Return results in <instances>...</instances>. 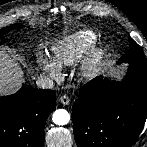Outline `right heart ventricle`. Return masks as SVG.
Instances as JSON below:
<instances>
[{"label":"right heart ventricle","mask_w":147,"mask_h":147,"mask_svg":"<svg viewBox=\"0 0 147 147\" xmlns=\"http://www.w3.org/2000/svg\"><path fill=\"white\" fill-rule=\"evenodd\" d=\"M97 37L90 29H82L63 37L51 47L54 61L60 66L77 63L95 45Z\"/></svg>","instance_id":"right-heart-ventricle-1"}]
</instances>
